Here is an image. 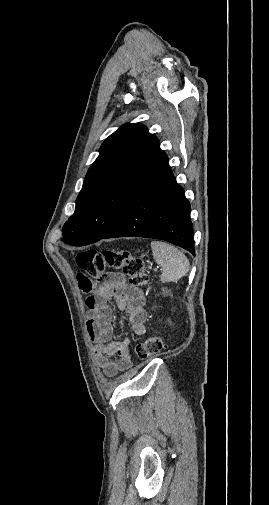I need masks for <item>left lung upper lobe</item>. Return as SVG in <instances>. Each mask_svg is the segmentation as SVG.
<instances>
[{"label": "left lung upper lobe", "mask_w": 269, "mask_h": 505, "mask_svg": "<svg viewBox=\"0 0 269 505\" xmlns=\"http://www.w3.org/2000/svg\"><path fill=\"white\" fill-rule=\"evenodd\" d=\"M157 137L139 123L125 124L102 144L76 199L74 214L63 226V240L74 246L99 241L113 227L130 200Z\"/></svg>", "instance_id": "left-lung-upper-lobe-1"}]
</instances>
